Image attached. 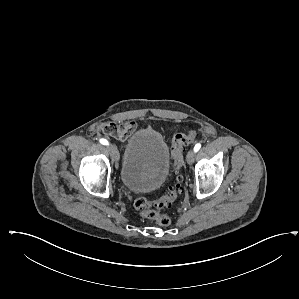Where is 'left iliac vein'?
Masks as SVG:
<instances>
[{
  "label": "left iliac vein",
  "instance_id": "4c4485c4",
  "mask_svg": "<svg viewBox=\"0 0 299 299\" xmlns=\"http://www.w3.org/2000/svg\"><path fill=\"white\" fill-rule=\"evenodd\" d=\"M194 159H195V151L194 150H190L187 153V156H186L187 163L188 164H193Z\"/></svg>",
  "mask_w": 299,
  "mask_h": 299
}]
</instances>
